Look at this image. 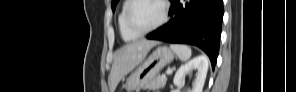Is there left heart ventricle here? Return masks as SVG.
Here are the masks:
<instances>
[{"mask_svg":"<svg viewBox=\"0 0 296 92\" xmlns=\"http://www.w3.org/2000/svg\"><path fill=\"white\" fill-rule=\"evenodd\" d=\"M162 9L157 1H140L131 11V21L139 30H146L161 18Z\"/></svg>","mask_w":296,"mask_h":92,"instance_id":"1","label":"left heart ventricle"}]
</instances>
